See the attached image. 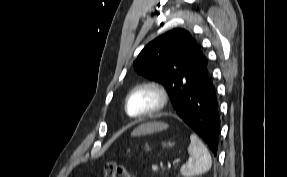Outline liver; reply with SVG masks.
<instances>
[{"mask_svg": "<svg viewBox=\"0 0 287 177\" xmlns=\"http://www.w3.org/2000/svg\"><path fill=\"white\" fill-rule=\"evenodd\" d=\"M168 125L164 123L154 122V123H146L139 127H137L132 133L131 136H140L143 134L153 133L155 131H161L167 129Z\"/></svg>", "mask_w": 287, "mask_h": 177, "instance_id": "liver-1", "label": "liver"}]
</instances>
